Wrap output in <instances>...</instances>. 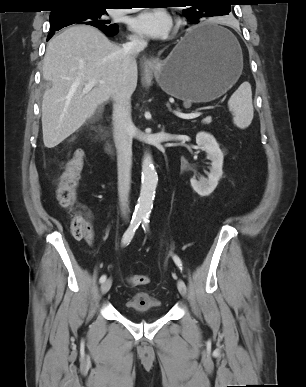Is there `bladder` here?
<instances>
[{"label": "bladder", "instance_id": "1", "mask_svg": "<svg viewBox=\"0 0 306 387\" xmlns=\"http://www.w3.org/2000/svg\"><path fill=\"white\" fill-rule=\"evenodd\" d=\"M125 312L129 316L151 313L155 316L164 314L163 304L147 292H138L129 298L124 304Z\"/></svg>", "mask_w": 306, "mask_h": 387}]
</instances>
